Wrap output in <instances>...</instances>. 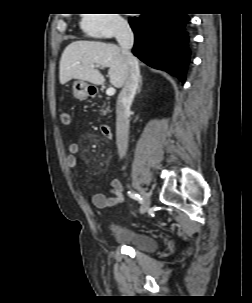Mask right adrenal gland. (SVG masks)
Masks as SVG:
<instances>
[{"instance_id":"right-adrenal-gland-1","label":"right adrenal gland","mask_w":252,"mask_h":303,"mask_svg":"<svg viewBox=\"0 0 252 303\" xmlns=\"http://www.w3.org/2000/svg\"><path fill=\"white\" fill-rule=\"evenodd\" d=\"M141 86H142V76H140V79H139V86L137 88V93H140L141 91Z\"/></svg>"}]
</instances>
